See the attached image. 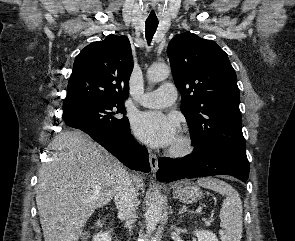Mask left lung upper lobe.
Wrapping results in <instances>:
<instances>
[{
	"mask_svg": "<svg viewBox=\"0 0 295 241\" xmlns=\"http://www.w3.org/2000/svg\"><path fill=\"white\" fill-rule=\"evenodd\" d=\"M167 55L194 152L224 149L246 156L240 92L227 54L214 41L183 33L170 41Z\"/></svg>",
	"mask_w": 295,
	"mask_h": 241,
	"instance_id": "1",
	"label": "left lung upper lobe"
}]
</instances>
